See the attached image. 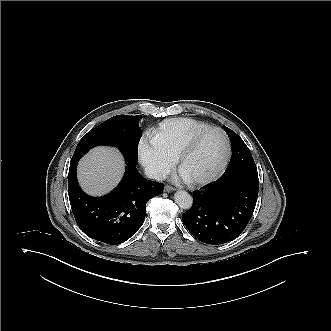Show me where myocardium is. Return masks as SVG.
<instances>
[{
	"label": "myocardium",
	"mask_w": 331,
	"mask_h": 331,
	"mask_svg": "<svg viewBox=\"0 0 331 331\" xmlns=\"http://www.w3.org/2000/svg\"><path fill=\"white\" fill-rule=\"evenodd\" d=\"M211 132H218L224 141V156L222 159V162L220 164V166L217 168V170L212 173L211 175L207 176V177H202V178H194L191 179V183L192 184H196V185H201V184H207L210 183L212 181H215L216 179H218L226 170L228 163H229V159H230V142H229V138L227 136V134L218 127H209L207 129H204L200 132H198L197 134H195L194 136H192L180 149L179 151V155L177 158V167L179 169V171H181V167H182V163L186 157V155L193 149V147L196 145V143L206 134L211 133Z\"/></svg>",
	"instance_id": "obj_1"
}]
</instances>
